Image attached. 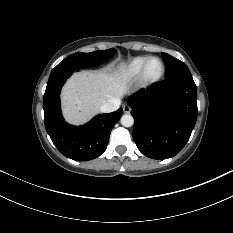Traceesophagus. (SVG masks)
<instances>
[{"label": "esophagus", "mask_w": 233, "mask_h": 233, "mask_svg": "<svg viewBox=\"0 0 233 233\" xmlns=\"http://www.w3.org/2000/svg\"><path fill=\"white\" fill-rule=\"evenodd\" d=\"M123 111L124 113H130L131 107L129 105H123Z\"/></svg>", "instance_id": "34e87169"}]
</instances>
